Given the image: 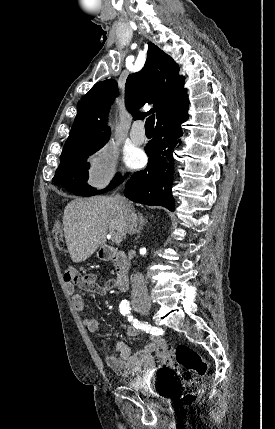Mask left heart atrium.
Wrapping results in <instances>:
<instances>
[{
    "label": "left heart atrium",
    "mask_w": 275,
    "mask_h": 429,
    "mask_svg": "<svg viewBox=\"0 0 275 429\" xmlns=\"http://www.w3.org/2000/svg\"><path fill=\"white\" fill-rule=\"evenodd\" d=\"M127 164L130 167H139L144 162V155L140 151H131L126 157Z\"/></svg>",
    "instance_id": "left-heart-atrium-1"
}]
</instances>
